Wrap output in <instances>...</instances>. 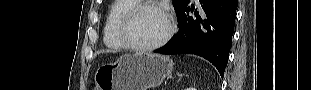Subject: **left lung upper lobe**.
I'll list each match as a JSON object with an SVG mask.
<instances>
[{
	"instance_id": "5c2ea615",
	"label": "left lung upper lobe",
	"mask_w": 311,
	"mask_h": 90,
	"mask_svg": "<svg viewBox=\"0 0 311 90\" xmlns=\"http://www.w3.org/2000/svg\"><path fill=\"white\" fill-rule=\"evenodd\" d=\"M188 2L189 0H173V6L177 16L187 6Z\"/></svg>"
}]
</instances>
